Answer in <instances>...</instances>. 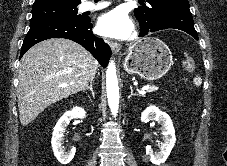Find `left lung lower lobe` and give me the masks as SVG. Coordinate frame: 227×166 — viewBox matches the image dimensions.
Listing matches in <instances>:
<instances>
[{"label":"left lung lower lobe","mask_w":227,"mask_h":166,"mask_svg":"<svg viewBox=\"0 0 227 166\" xmlns=\"http://www.w3.org/2000/svg\"><path fill=\"white\" fill-rule=\"evenodd\" d=\"M164 29H178L190 34L196 40H198V35L194 28V22H193L191 12H187V11L176 12L173 14L165 15L160 19H158V21L155 22L150 27H145L143 25H140L139 37L145 36L149 33H152L158 30H164Z\"/></svg>","instance_id":"1"}]
</instances>
